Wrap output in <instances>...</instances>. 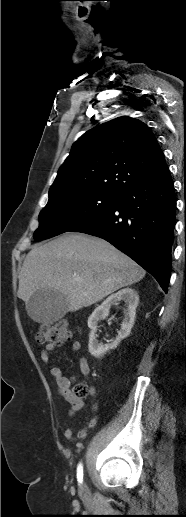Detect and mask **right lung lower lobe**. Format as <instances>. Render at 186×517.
<instances>
[{
  "label": "right lung lower lobe",
  "mask_w": 186,
  "mask_h": 517,
  "mask_svg": "<svg viewBox=\"0 0 186 517\" xmlns=\"http://www.w3.org/2000/svg\"><path fill=\"white\" fill-rule=\"evenodd\" d=\"M176 199L169 170L119 195L111 208L71 229L100 237L155 277L167 293Z\"/></svg>",
  "instance_id": "obj_1"
}]
</instances>
